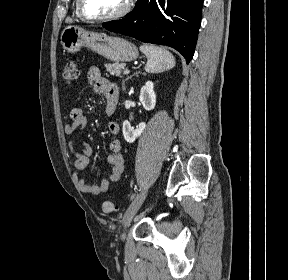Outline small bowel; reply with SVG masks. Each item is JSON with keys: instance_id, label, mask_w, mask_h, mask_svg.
Segmentation results:
<instances>
[{"instance_id": "small-bowel-1", "label": "small bowel", "mask_w": 288, "mask_h": 280, "mask_svg": "<svg viewBox=\"0 0 288 280\" xmlns=\"http://www.w3.org/2000/svg\"><path fill=\"white\" fill-rule=\"evenodd\" d=\"M87 81L92 86L94 92L104 95L106 99L105 112L108 115L113 114L109 109V104L112 100L118 101L119 91L115 83L104 78L101 75L98 67H91L87 73ZM70 122L64 126V131L68 135H72L77 131L84 129L88 123V116L82 108H74L71 110ZM108 131L111 135L117 136L119 134V125L116 122L108 123ZM69 147L75 155V169L74 180L78 189L85 194L101 195L105 193L110 186L117 185L123 177L125 171V162L122 155V143L118 138H114L109 143L110 154L107 158L108 163L112 166L111 173L108 178L101 181L97 185H91L80 176V172L85 170L89 164V156L91 148L86 143L78 144L72 140L69 142Z\"/></svg>"}]
</instances>
